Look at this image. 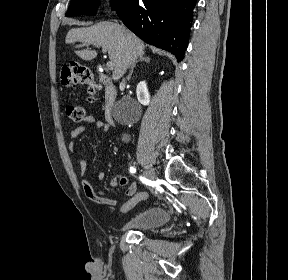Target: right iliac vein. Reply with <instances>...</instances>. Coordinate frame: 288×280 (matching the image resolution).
I'll use <instances>...</instances> for the list:
<instances>
[{"mask_svg":"<svg viewBox=\"0 0 288 280\" xmlns=\"http://www.w3.org/2000/svg\"><path fill=\"white\" fill-rule=\"evenodd\" d=\"M144 176L148 180H154L155 179V173L152 170L146 169L144 171Z\"/></svg>","mask_w":288,"mask_h":280,"instance_id":"obj_1","label":"right iliac vein"}]
</instances>
